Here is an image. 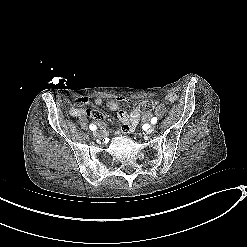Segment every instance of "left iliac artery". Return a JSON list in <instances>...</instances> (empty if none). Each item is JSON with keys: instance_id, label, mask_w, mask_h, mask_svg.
I'll return each mask as SVG.
<instances>
[{"instance_id": "obj_1", "label": "left iliac artery", "mask_w": 247, "mask_h": 247, "mask_svg": "<svg viewBox=\"0 0 247 247\" xmlns=\"http://www.w3.org/2000/svg\"><path fill=\"white\" fill-rule=\"evenodd\" d=\"M151 123H152V124H156V123H157V118H156V117H153V118L151 119Z\"/></svg>"}]
</instances>
